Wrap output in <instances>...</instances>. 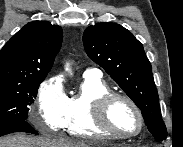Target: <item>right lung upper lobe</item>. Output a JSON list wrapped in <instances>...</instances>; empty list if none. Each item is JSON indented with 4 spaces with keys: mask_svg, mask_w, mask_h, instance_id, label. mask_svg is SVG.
<instances>
[{
    "mask_svg": "<svg viewBox=\"0 0 183 147\" xmlns=\"http://www.w3.org/2000/svg\"><path fill=\"white\" fill-rule=\"evenodd\" d=\"M62 38V28L48 21L26 24L0 51V84L45 78Z\"/></svg>",
    "mask_w": 183,
    "mask_h": 147,
    "instance_id": "right-lung-upper-lobe-1",
    "label": "right lung upper lobe"
}]
</instances>
